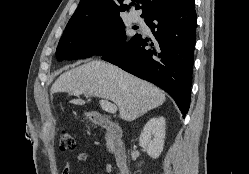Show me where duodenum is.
<instances>
[{
  "mask_svg": "<svg viewBox=\"0 0 249 174\" xmlns=\"http://www.w3.org/2000/svg\"><path fill=\"white\" fill-rule=\"evenodd\" d=\"M93 122L108 132V140L111 145L119 174H130L127 152L123 143V133L120 126L114 121L99 113L92 116Z\"/></svg>",
  "mask_w": 249,
  "mask_h": 174,
  "instance_id": "410a0bca",
  "label": "duodenum"
}]
</instances>
